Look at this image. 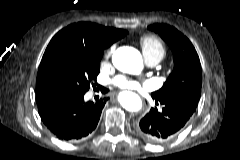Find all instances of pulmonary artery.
<instances>
[{
    "instance_id": "obj_1",
    "label": "pulmonary artery",
    "mask_w": 240,
    "mask_h": 160,
    "mask_svg": "<svg viewBox=\"0 0 240 160\" xmlns=\"http://www.w3.org/2000/svg\"><path fill=\"white\" fill-rule=\"evenodd\" d=\"M161 60L158 56H145V61L149 66H155Z\"/></svg>"
}]
</instances>
